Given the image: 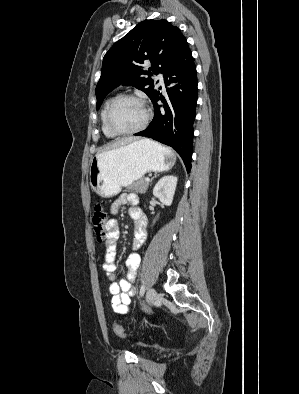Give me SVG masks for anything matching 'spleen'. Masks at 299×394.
I'll use <instances>...</instances> for the list:
<instances>
[{"instance_id": "1", "label": "spleen", "mask_w": 299, "mask_h": 394, "mask_svg": "<svg viewBox=\"0 0 299 394\" xmlns=\"http://www.w3.org/2000/svg\"><path fill=\"white\" fill-rule=\"evenodd\" d=\"M154 143H155V142H154ZM156 145H158L159 147H161V145H159V144H157V143H156Z\"/></svg>"}]
</instances>
